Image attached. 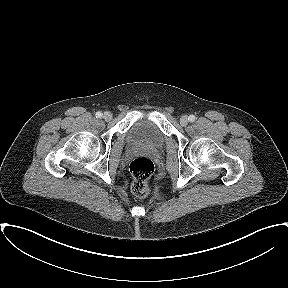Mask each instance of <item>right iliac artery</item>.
Returning a JSON list of instances; mask_svg holds the SVG:
<instances>
[{"label": "right iliac artery", "mask_w": 288, "mask_h": 288, "mask_svg": "<svg viewBox=\"0 0 288 288\" xmlns=\"http://www.w3.org/2000/svg\"><path fill=\"white\" fill-rule=\"evenodd\" d=\"M95 116H96V118L100 119V118L102 117V113H101V112H97V113L95 114Z\"/></svg>", "instance_id": "obj_1"}]
</instances>
